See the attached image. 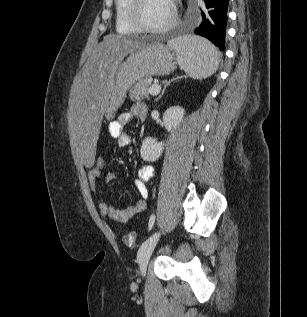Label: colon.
Listing matches in <instances>:
<instances>
[{
  "label": "colon",
  "mask_w": 307,
  "mask_h": 317,
  "mask_svg": "<svg viewBox=\"0 0 307 317\" xmlns=\"http://www.w3.org/2000/svg\"><path fill=\"white\" fill-rule=\"evenodd\" d=\"M106 162L103 157H97L95 159L94 169L102 171L105 168ZM136 232H129L123 237V241L128 246H133L136 242Z\"/></svg>",
  "instance_id": "obj_1"
}]
</instances>
